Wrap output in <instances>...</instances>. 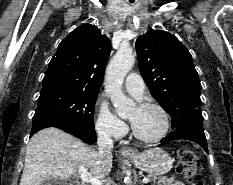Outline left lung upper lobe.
<instances>
[{"label":"left lung upper lobe","mask_w":233,"mask_h":185,"mask_svg":"<svg viewBox=\"0 0 233 185\" xmlns=\"http://www.w3.org/2000/svg\"><path fill=\"white\" fill-rule=\"evenodd\" d=\"M139 70L151 95L172 116V128L202 119L198 73L187 48L172 34L150 30L136 41Z\"/></svg>","instance_id":"obj_1"}]
</instances>
